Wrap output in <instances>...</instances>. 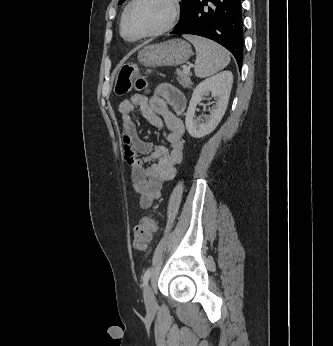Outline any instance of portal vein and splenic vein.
Listing matches in <instances>:
<instances>
[{
  "instance_id": "18ae733b",
  "label": "portal vein and splenic vein",
  "mask_w": 333,
  "mask_h": 346,
  "mask_svg": "<svg viewBox=\"0 0 333 346\" xmlns=\"http://www.w3.org/2000/svg\"><path fill=\"white\" fill-rule=\"evenodd\" d=\"M183 71H184L185 73H189V72H190V69H189V67H186V68L183 69Z\"/></svg>"
}]
</instances>
